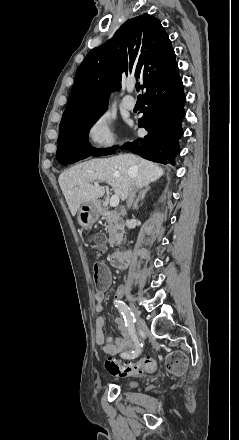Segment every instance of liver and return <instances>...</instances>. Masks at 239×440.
Returning <instances> with one entry per match:
<instances>
[{
  "label": "liver",
  "mask_w": 239,
  "mask_h": 440,
  "mask_svg": "<svg viewBox=\"0 0 239 440\" xmlns=\"http://www.w3.org/2000/svg\"><path fill=\"white\" fill-rule=\"evenodd\" d=\"M163 174V168L158 164L134 154H119L112 158H99L77 164L60 174L58 182L72 216H76L81 204L98 200L105 194L103 186L96 188L89 182H108L120 200H127L132 186L144 188L159 180Z\"/></svg>",
  "instance_id": "1"
}]
</instances>
